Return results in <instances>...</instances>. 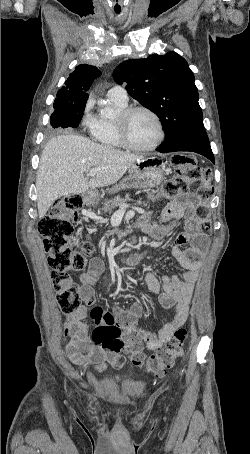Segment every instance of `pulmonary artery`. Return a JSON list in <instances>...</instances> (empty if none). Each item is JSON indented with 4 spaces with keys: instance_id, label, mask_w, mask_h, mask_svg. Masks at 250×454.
<instances>
[{
    "instance_id": "obj_1",
    "label": "pulmonary artery",
    "mask_w": 250,
    "mask_h": 454,
    "mask_svg": "<svg viewBox=\"0 0 250 454\" xmlns=\"http://www.w3.org/2000/svg\"><path fill=\"white\" fill-rule=\"evenodd\" d=\"M108 97L112 100L119 101L121 103L127 104L128 103V94L124 87L120 85H116L112 87L108 93Z\"/></svg>"
}]
</instances>
